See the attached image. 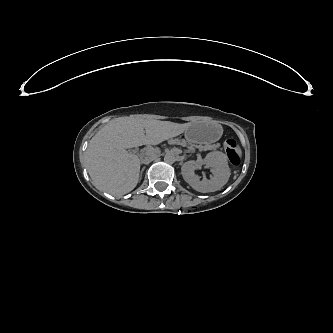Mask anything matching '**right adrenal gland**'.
I'll return each mask as SVG.
<instances>
[{
	"label": "right adrenal gland",
	"mask_w": 333,
	"mask_h": 333,
	"mask_svg": "<svg viewBox=\"0 0 333 333\" xmlns=\"http://www.w3.org/2000/svg\"><path fill=\"white\" fill-rule=\"evenodd\" d=\"M142 172H143V170H142L141 173H140V178H141V176H142Z\"/></svg>",
	"instance_id": "1"
}]
</instances>
